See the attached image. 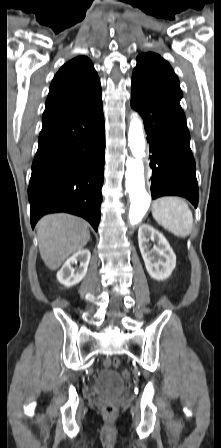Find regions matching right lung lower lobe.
Wrapping results in <instances>:
<instances>
[{
	"label": "right lung lower lobe",
	"mask_w": 221,
	"mask_h": 448,
	"mask_svg": "<svg viewBox=\"0 0 221 448\" xmlns=\"http://www.w3.org/2000/svg\"><path fill=\"white\" fill-rule=\"evenodd\" d=\"M104 152L102 95L43 124L28 187L32 228L47 213L68 212L97 231Z\"/></svg>",
	"instance_id": "right-lung-lower-lobe-1"
}]
</instances>
